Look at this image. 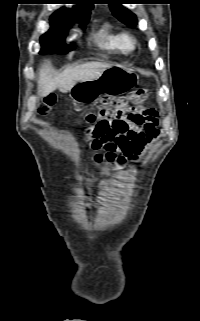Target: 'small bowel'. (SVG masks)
<instances>
[{
    "label": "small bowel",
    "instance_id": "1",
    "mask_svg": "<svg viewBox=\"0 0 200 321\" xmlns=\"http://www.w3.org/2000/svg\"><path fill=\"white\" fill-rule=\"evenodd\" d=\"M155 110L133 113L116 122H99L89 133L93 150L103 149L109 158L121 153V160L136 159L151 141L159 135Z\"/></svg>",
    "mask_w": 200,
    "mask_h": 321
}]
</instances>
